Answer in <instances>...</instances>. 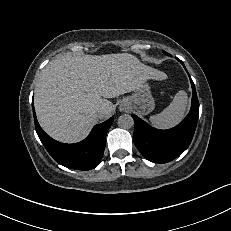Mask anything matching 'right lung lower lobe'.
Returning <instances> with one entry per match:
<instances>
[{
  "label": "right lung lower lobe",
  "instance_id": "obj_1",
  "mask_svg": "<svg viewBox=\"0 0 231 231\" xmlns=\"http://www.w3.org/2000/svg\"><path fill=\"white\" fill-rule=\"evenodd\" d=\"M34 110V106L32 104ZM35 128L42 144L59 164L77 170H91L97 167L105 149L106 134L114 119L94 126L83 141L76 144H63L49 137L39 126L35 111H33Z\"/></svg>",
  "mask_w": 231,
  "mask_h": 231
}]
</instances>
